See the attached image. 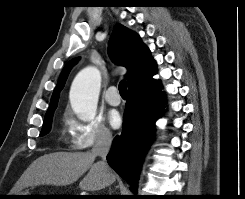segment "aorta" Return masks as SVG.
Segmentation results:
<instances>
[{
    "mask_svg": "<svg viewBox=\"0 0 245 199\" xmlns=\"http://www.w3.org/2000/svg\"><path fill=\"white\" fill-rule=\"evenodd\" d=\"M101 75L96 67H87L75 77L70 90V103L77 116L83 121L95 118Z\"/></svg>",
    "mask_w": 245,
    "mask_h": 199,
    "instance_id": "aorta-1",
    "label": "aorta"
}]
</instances>
